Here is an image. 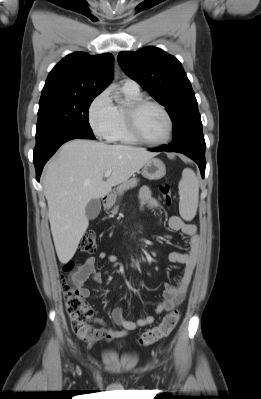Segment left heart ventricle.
<instances>
[{"label":"left heart ventricle","instance_id":"1","mask_svg":"<svg viewBox=\"0 0 261 399\" xmlns=\"http://www.w3.org/2000/svg\"><path fill=\"white\" fill-rule=\"evenodd\" d=\"M138 125L141 133L154 141L164 139L168 132L167 120L155 106H146L138 113Z\"/></svg>","mask_w":261,"mask_h":399}]
</instances>
